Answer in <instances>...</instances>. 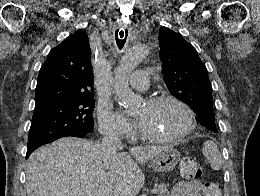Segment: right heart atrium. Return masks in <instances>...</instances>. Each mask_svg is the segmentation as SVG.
<instances>
[{
	"mask_svg": "<svg viewBox=\"0 0 260 196\" xmlns=\"http://www.w3.org/2000/svg\"><path fill=\"white\" fill-rule=\"evenodd\" d=\"M99 129L102 133H109L114 130H129L132 125L124 115L114 109L110 103L101 105L97 111ZM107 143V142H103Z\"/></svg>",
	"mask_w": 260,
	"mask_h": 196,
	"instance_id": "right-heart-atrium-1",
	"label": "right heart atrium"
}]
</instances>
